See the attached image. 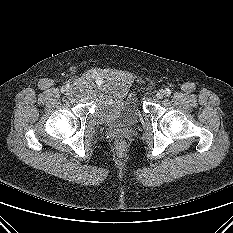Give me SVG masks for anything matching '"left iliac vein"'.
<instances>
[{
  "label": "left iliac vein",
  "instance_id": "left-iliac-vein-1",
  "mask_svg": "<svg viewBox=\"0 0 233 233\" xmlns=\"http://www.w3.org/2000/svg\"><path fill=\"white\" fill-rule=\"evenodd\" d=\"M164 94H165L164 90H159V91H157V93H156V97H157L158 99H162V98L164 97Z\"/></svg>",
  "mask_w": 233,
  "mask_h": 233
}]
</instances>
